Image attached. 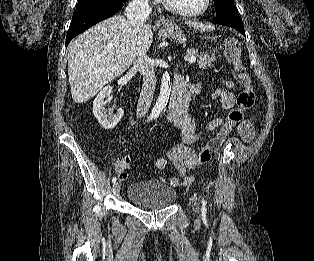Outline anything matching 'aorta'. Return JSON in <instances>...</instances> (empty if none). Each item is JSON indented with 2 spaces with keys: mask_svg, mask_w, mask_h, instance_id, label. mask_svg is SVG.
I'll return each instance as SVG.
<instances>
[{
  "mask_svg": "<svg viewBox=\"0 0 314 261\" xmlns=\"http://www.w3.org/2000/svg\"><path fill=\"white\" fill-rule=\"evenodd\" d=\"M170 90H171L170 75L166 71L162 75L160 95L152 110V113H151L152 117H158L162 113L163 109L167 105V102L170 96Z\"/></svg>",
  "mask_w": 314,
  "mask_h": 261,
  "instance_id": "aorta-1",
  "label": "aorta"
}]
</instances>
